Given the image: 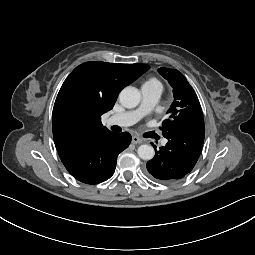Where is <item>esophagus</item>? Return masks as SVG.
Wrapping results in <instances>:
<instances>
[{"mask_svg": "<svg viewBox=\"0 0 255 255\" xmlns=\"http://www.w3.org/2000/svg\"><path fill=\"white\" fill-rule=\"evenodd\" d=\"M132 143L133 144H141V143H143V140L138 136H132Z\"/></svg>", "mask_w": 255, "mask_h": 255, "instance_id": "obj_1", "label": "esophagus"}]
</instances>
